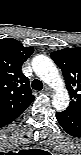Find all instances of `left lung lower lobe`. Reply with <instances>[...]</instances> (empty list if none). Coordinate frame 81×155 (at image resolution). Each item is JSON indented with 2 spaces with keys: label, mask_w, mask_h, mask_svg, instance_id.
<instances>
[{
  "label": "left lung lower lobe",
  "mask_w": 81,
  "mask_h": 155,
  "mask_svg": "<svg viewBox=\"0 0 81 155\" xmlns=\"http://www.w3.org/2000/svg\"><path fill=\"white\" fill-rule=\"evenodd\" d=\"M57 120L61 126L69 133L75 134L74 132L79 130L80 117L67 110L56 113Z\"/></svg>",
  "instance_id": "1"
}]
</instances>
